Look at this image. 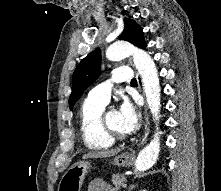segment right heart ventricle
<instances>
[{
  "instance_id": "right-heart-ventricle-1",
  "label": "right heart ventricle",
  "mask_w": 221,
  "mask_h": 191,
  "mask_svg": "<svg viewBox=\"0 0 221 191\" xmlns=\"http://www.w3.org/2000/svg\"><path fill=\"white\" fill-rule=\"evenodd\" d=\"M106 103L84 100L80 109V129L84 144L95 150L110 148L114 141L104 127L102 113Z\"/></svg>"
}]
</instances>
